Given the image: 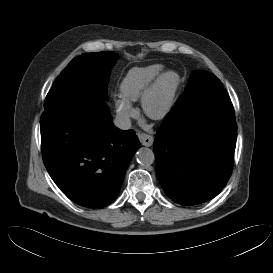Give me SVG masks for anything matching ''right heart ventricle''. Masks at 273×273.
Instances as JSON below:
<instances>
[{
	"instance_id": "right-heart-ventricle-1",
	"label": "right heart ventricle",
	"mask_w": 273,
	"mask_h": 273,
	"mask_svg": "<svg viewBox=\"0 0 273 273\" xmlns=\"http://www.w3.org/2000/svg\"><path fill=\"white\" fill-rule=\"evenodd\" d=\"M162 69L161 64H150L133 69L120 87L122 96L130 102L138 100Z\"/></svg>"
}]
</instances>
